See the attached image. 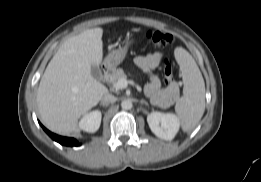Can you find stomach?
Masks as SVG:
<instances>
[{
    "mask_svg": "<svg viewBox=\"0 0 261 182\" xmlns=\"http://www.w3.org/2000/svg\"><path fill=\"white\" fill-rule=\"evenodd\" d=\"M133 43V39H127L124 47H119L118 49H115L111 51L104 60V65L114 70L122 61L124 60L129 46Z\"/></svg>",
    "mask_w": 261,
    "mask_h": 182,
    "instance_id": "stomach-1",
    "label": "stomach"
}]
</instances>
